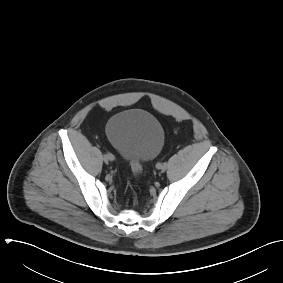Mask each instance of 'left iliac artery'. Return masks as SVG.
Listing matches in <instances>:
<instances>
[{"mask_svg": "<svg viewBox=\"0 0 283 283\" xmlns=\"http://www.w3.org/2000/svg\"><path fill=\"white\" fill-rule=\"evenodd\" d=\"M161 164H162V163L158 162L156 166L158 167V166L161 165ZM163 164L167 165L166 163H163Z\"/></svg>", "mask_w": 283, "mask_h": 283, "instance_id": "44dca946", "label": "left iliac artery"}]
</instances>
